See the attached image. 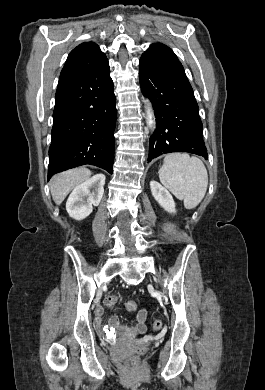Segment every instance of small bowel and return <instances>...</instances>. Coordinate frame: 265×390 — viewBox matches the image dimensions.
<instances>
[{"mask_svg": "<svg viewBox=\"0 0 265 390\" xmlns=\"http://www.w3.org/2000/svg\"><path fill=\"white\" fill-rule=\"evenodd\" d=\"M103 315L104 310L101 307H98L96 310V321L98 325L103 324ZM137 324L132 327H126V330L130 332L131 334H142L146 331V319H147V311L145 309H141L138 311L137 316ZM111 326L113 327H121V324L117 317H111L110 318Z\"/></svg>", "mask_w": 265, "mask_h": 390, "instance_id": "small-bowel-1", "label": "small bowel"}]
</instances>
